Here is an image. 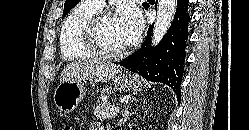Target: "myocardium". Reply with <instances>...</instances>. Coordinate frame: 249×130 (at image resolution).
Returning <instances> with one entry per match:
<instances>
[{"mask_svg":"<svg viewBox=\"0 0 249 130\" xmlns=\"http://www.w3.org/2000/svg\"><path fill=\"white\" fill-rule=\"evenodd\" d=\"M109 16H112V14L106 10H99L92 15L83 28L82 38L85 47L94 56L107 60H116L127 54L128 47H124L118 51H110L103 46L100 39V28L104 19Z\"/></svg>","mask_w":249,"mask_h":130,"instance_id":"myocardium-1","label":"myocardium"}]
</instances>
